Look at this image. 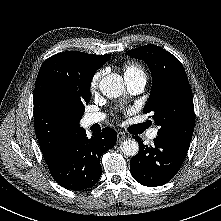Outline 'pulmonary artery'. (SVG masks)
Instances as JSON below:
<instances>
[{"label": "pulmonary artery", "mask_w": 221, "mask_h": 221, "mask_svg": "<svg viewBox=\"0 0 221 221\" xmlns=\"http://www.w3.org/2000/svg\"><path fill=\"white\" fill-rule=\"evenodd\" d=\"M127 88L131 94H139L144 90L146 85L145 78H125ZM104 119V114L102 113H92L85 116L84 124L85 126H90L95 123H99ZM157 128H152L146 134L147 139L152 141L157 136Z\"/></svg>", "instance_id": "1"}]
</instances>
